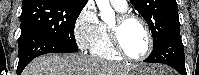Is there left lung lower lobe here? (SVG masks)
I'll use <instances>...</instances> for the list:
<instances>
[{"mask_svg": "<svg viewBox=\"0 0 199 75\" xmlns=\"http://www.w3.org/2000/svg\"><path fill=\"white\" fill-rule=\"evenodd\" d=\"M144 62L167 64L181 75H187L185 68L184 46L180 32L174 33L164 40Z\"/></svg>", "mask_w": 199, "mask_h": 75, "instance_id": "0a47b994", "label": "left lung lower lobe"}]
</instances>
